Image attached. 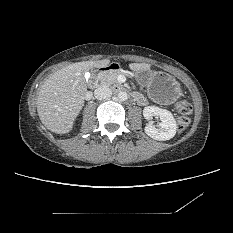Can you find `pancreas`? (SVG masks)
Instances as JSON below:
<instances>
[{"instance_id": "obj_1", "label": "pancreas", "mask_w": 233, "mask_h": 233, "mask_svg": "<svg viewBox=\"0 0 233 233\" xmlns=\"http://www.w3.org/2000/svg\"><path fill=\"white\" fill-rule=\"evenodd\" d=\"M121 73L122 72H120V71L104 72L100 77L102 84H105L108 86L113 85L114 87L122 86L117 80V76L120 75Z\"/></svg>"}]
</instances>
